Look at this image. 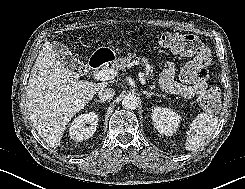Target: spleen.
<instances>
[{"instance_id":"1","label":"spleen","mask_w":245,"mask_h":189,"mask_svg":"<svg viewBox=\"0 0 245 189\" xmlns=\"http://www.w3.org/2000/svg\"><path fill=\"white\" fill-rule=\"evenodd\" d=\"M218 125V117L213 114L200 113L190 124L186 132L185 149L196 151L214 133Z\"/></svg>"}]
</instances>
